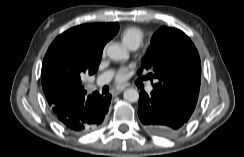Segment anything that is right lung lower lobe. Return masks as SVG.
I'll list each match as a JSON object with an SVG mask.
<instances>
[{"mask_svg":"<svg viewBox=\"0 0 244 157\" xmlns=\"http://www.w3.org/2000/svg\"><path fill=\"white\" fill-rule=\"evenodd\" d=\"M111 95H78L71 100L48 102L59 123L72 132H87L100 126L108 112Z\"/></svg>","mask_w":244,"mask_h":157,"instance_id":"98d812e1","label":"right lung lower lobe"}]
</instances>
